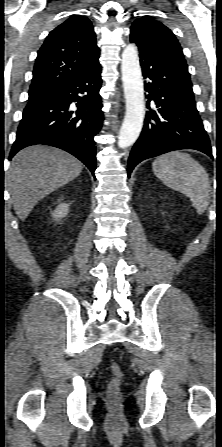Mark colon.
Segmentation results:
<instances>
[{"label": "colon", "instance_id": "5ec220e1", "mask_svg": "<svg viewBox=\"0 0 222 447\" xmlns=\"http://www.w3.org/2000/svg\"><path fill=\"white\" fill-rule=\"evenodd\" d=\"M111 373L113 379L110 381L107 387V397L112 402H117L121 398V381H122V371L117 364L111 365Z\"/></svg>", "mask_w": 222, "mask_h": 447}]
</instances>
